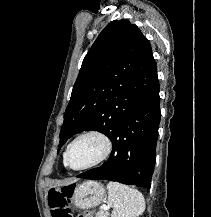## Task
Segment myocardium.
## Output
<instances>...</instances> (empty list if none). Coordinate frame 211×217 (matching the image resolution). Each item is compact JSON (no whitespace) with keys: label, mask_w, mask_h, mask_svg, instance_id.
<instances>
[{"label":"myocardium","mask_w":211,"mask_h":217,"mask_svg":"<svg viewBox=\"0 0 211 217\" xmlns=\"http://www.w3.org/2000/svg\"><path fill=\"white\" fill-rule=\"evenodd\" d=\"M86 136H96V137L100 138L104 143V151H103L102 155L94 162H92L88 165H85L83 167L75 168V167L71 166V164L69 162L70 150H71L72 146L75 144V142H77L79 139L86 137ZM112 150H113V142L107 133H105L104 131L98 130V129H90V130H87V131L80 133L69 143V145L67 146V149L65 151V164L69 169L74 170V171L88 170V169L94 168V167L102 164L103 162H105L110 157Z\"/></svg>","instance_id":"myocardium-1"}]
</instances>
